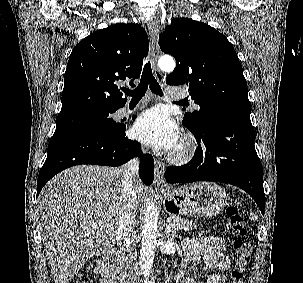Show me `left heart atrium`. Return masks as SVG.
Listing matches in <instances>:
<instances>
[{"label": "left heart atrium", "instance_id": "1", "mask_svg": "<svg viewBox=\"0 0 303 283\" xmlns=\"http://www.w3.org/2000/svg\"><path fill=\"white\" fill-rule=\"evenodd\" d=\"M134 137L154 148L172 149L179 142L178 128L162 107L142 113L133 126Z\"/></svg>", "mask_w": 303, "mask_h": 283}]
</instances>
